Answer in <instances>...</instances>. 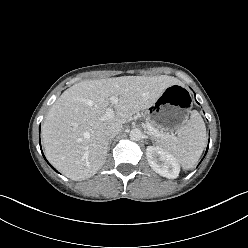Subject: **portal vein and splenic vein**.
Listing matches in <instances>:
<instances>
[{
  "label": "portal vein and splenic vein",
  "instance_id": "1",
  "mask_svg": "<svg viewBox=\"0 0 248 248\" xmlns=\"http://www.w3.org/2000/svg\"><path fill=\"white\" fill-rule=\"evenodd\" d=\"M111 104H116L118 102V98L116 96H112L110 98ZM114 116V110L112 109V107H108L106 109V113L104 115V118H111ZM147 129L150 131L151 134L156 135L157 137H161V138H165L166 136L162 133H159L157 130H155L152 126H150L149 124H146Z\"/></svg>",
  "mask_w": 248,
  "mask_h": 248
}]
</instances>
